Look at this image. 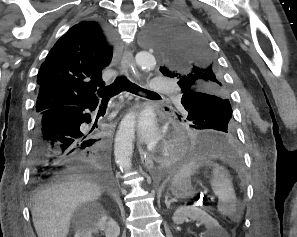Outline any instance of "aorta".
I'll use <instances>...</instances> for the list:
<instances>
[{
	"label": "aorta",
	"instance_id": "aorta-1",
	"mask_svg": "<svg viewBox=\"0 0 297 237\" xmlns=\"http://www.w3.org/2000/svg\"><path fill=\"white\" fill-rule=\"evenodd\" d=\"M149 44L154 43L149 39ZM135 62L142 70H151L156 65L155 57L146 51L139 52L135 57ZM136 116L134 113H128L121 121L116 135L114 154L115 161L122 171L131 169V157L133 153V136L135 132Z\"/></svg>",
	"mask_w": 297,
	"mask_h": 237
}]
</instances>
